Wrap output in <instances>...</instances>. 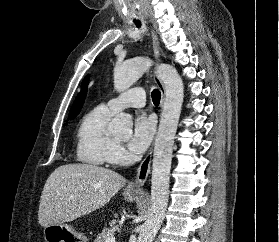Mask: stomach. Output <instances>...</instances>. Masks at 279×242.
<instances>
[{
    "label": "stomach",
    "mask_w": 279,
    "mask_h": 242,
    "mask_svg": "<svg viewBox=\"0 0 279 242\" xmlns=\"http://www.w3.org/2000/svg\"><path fill=\"white\" fill-rule=\"evenodd\" d=\"M127 201H133L138 197L136 193H124ZM43 237L45 242H86V238L68 224H51L44 227Z\"/></svg>",
    "instance_id": "1"
}]
</instances>
